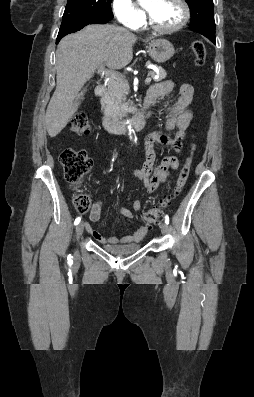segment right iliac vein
Here are the masks:
<instances>
[{
	"mask_svg": "<svg viewBox=\"0 0 254 397\" xmlns=\"http://www.w3.org/2000/svg\"><path fill=\"white\" fill-rule=\"evenodd\" d=\"M84 224L83 222L79 223L76 227V238L79 239L83 233Z\"/></svg>",
	"mask_w": 254,
	"mask_h": 397,
	"instance_id": "obj_1",
	"label": "right iliac vein"
}]
</instances>
